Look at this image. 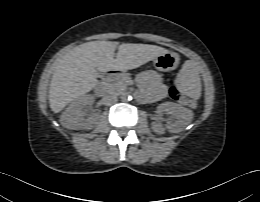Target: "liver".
<instances>
[{"mask_svg":"<svg viewBox=\"0 0 260 202\" xmlns=\"http://www.w3.org/2000/svg\"><path fill=\"white\" fill-rule=\"evenodd\" d=\"M117 56L114 59L115 50ZM167 49L149 44L113 41L83 43L67 54L55 66L49 87V104L59 113L70 102L90 92L97 84L96 70H130L155 59Z\"/></svg>","mask_w":260,"mask_h":202,"instance_id":"6515ba94","label":"liver"}]
</instances>
